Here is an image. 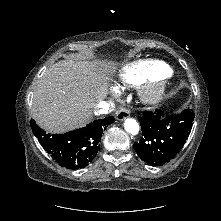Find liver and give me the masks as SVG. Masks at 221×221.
Listing matches in <instances>:
<instances>
[{
	"label": "liver",
	"mask_w": 221,
	"mask_h": 221,
	"mask_svg": "<svg viewBox=\"0 0 221 221\" xmlns=\"http://www.w3.org/2000/svg\"><path fill=\"white\" fill-rule=\"evenodd\" d=\"M109 63L61 60L50 66L34 90L31 113L50 133L83 127L107 95Z\"/></svg>",
	"instance_id": "obj_1"
}]
</instances>
